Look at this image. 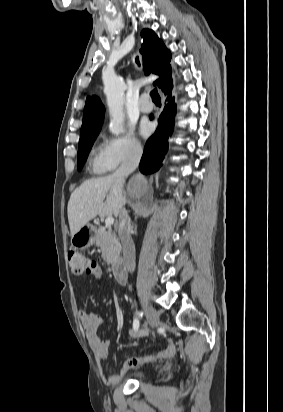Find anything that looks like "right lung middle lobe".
<instances>
[{"label":"right lung middle lobe","mask_w":283,"mask_h":412,"mask_svg":"<svg viewBox=\"0 0 283 412\" xmlns=\"http://www.w3.org/2000/svg\"><path fill=\"white\" fill-rule=\"evenodd\" d=\"M98 132L88 134L86 136L80 137L79 140V149H78V156H77V165L78 170H81L82 166L84 165L88 153L92 147L94 140L96 139Z\"/></svg>","instance_id":"1"}]
</instances>
